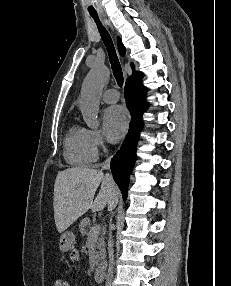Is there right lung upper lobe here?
I'll list each match as a JSON object with an SVG mask.
<instances>
[{
    "label": "right lung upper lobe",
    "instance_id": "obj_1",
    "mask_svg": "<svg viewBox=\"0 0 231 286\" xmlns=\"http://www.w3.org/2000/svg\"><path fill=\"white\" fill-rule=\"evenodd\" d=\"M118 49H119V52H120L121 55H124V54H125V48H124V46H123V44L121 43L120 40H118ZM132 67H133V76L139 74L138 72H136V71L134 70V66H132ZM133 76H132V77H133Z\"/></svg>",
    "mask_w": 231,
    "mask_h": 286
}]
</instances>
